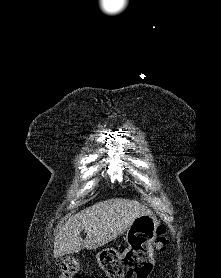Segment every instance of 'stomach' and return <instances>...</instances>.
<instances>
[{"label":"stomach","instance_id":"stomach-1","mask_svg":"<svg viewBox=\"0 0 221 278\" xmlns=\"http://www.w3.org/2000/svg\"><path fill=\"white\" fill-rule=\"evenodd\" d=\"M158 226L159 222L153 214L141 215L135 218L127 229L125 240L128 251H125V254H119L114 249L98 252L97 262L109 278H148V275H152V245Z\"/></svg>","mask_w":221,"mask_h":278}]
</instances>
